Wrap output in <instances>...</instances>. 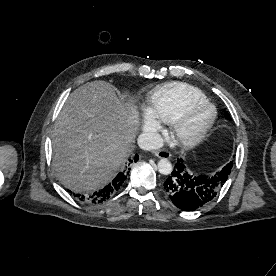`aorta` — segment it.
<instances>
[{"label": "aorta", "mask_w": 276, "mask_h": 276, "mask_svg": "<svg viewBox=\"0 0 276 276\" xmlns=\"http://www.w3.org/2000/svg\"><path fill=\"white\" fill-rule=\"evenodd\" d=\"M172 164L169 160H167L166 158H162L159 162H158V171L159 173H161L162 175H170L172 172Z\"/></svg>", "instance_id": "762f6f07"}]
</instances>
